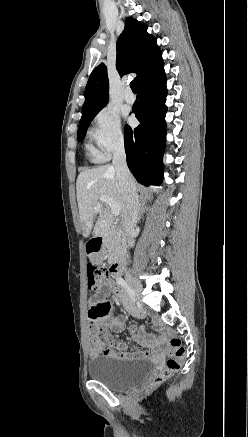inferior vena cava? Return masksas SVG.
I'll use <instances>...</instances> for the list:
<instances>
[{"mask_svg": "<svg viewBox=\"0 0 248 437\" xmlns=\"http://www.w3.org/2000/svg\"><path fill=\"white\" fill-rule=\"evenodd\" d=\"M112 162L119 184L124 191L126 212L123 217V227L127 237L128 247H132L134 244L133 231L139 218L140 204L136 192L134 178L126 163L123 140H119L115 144Z\"/></svg>", "mask_w": 248, "mask_h": 437, "instance_id": "1", "label": "inferior vena cava"}]
</instances>
